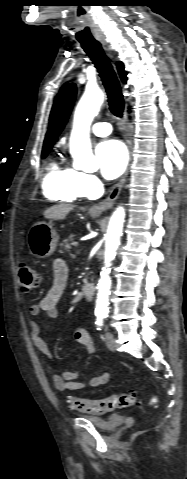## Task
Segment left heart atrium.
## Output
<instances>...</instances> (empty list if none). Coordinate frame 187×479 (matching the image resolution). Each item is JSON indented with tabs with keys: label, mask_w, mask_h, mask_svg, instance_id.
Wrapping results in <instances>:
<instances>
[{
	"label": "left heart atrium",
	"mask_w": 187,
	"mask_h": 479,
	"mask_svg": "<svg viewBox=\"0 0 187 479\" xmlns=\"http://www.w3.org/2000/svg\"><path fill=\"white\" fill-rule=\"evenodd\" d=\"M96 156L101 173L106 179H114L122 174L127 165V152L118 140H105L96 147Z\"/></svg>",
	"instance_id": "39dd6f15"
}]
</instances>
